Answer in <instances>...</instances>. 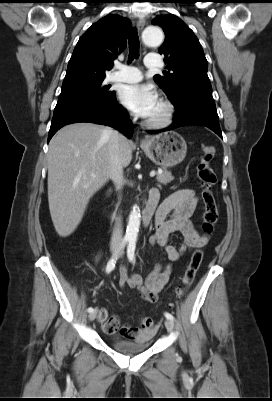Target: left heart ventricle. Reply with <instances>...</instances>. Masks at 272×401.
I'll list each match as a JSON object with an SVG mask.
<instances>
[{
    "label": "left heart ventricle",
    "instance_id": "obj_1",
    "mask_svg": "<svg viewBox=\"0 0 272 401\" xmlns=\"http://www.w3.org/2000/svg\"><path fill=\"white\" fill-rule=\"evenodd\" d=\"M160 113H161V106L158 103L154 113L148 119L156 118V117H158L160 115Z\"/></svg>",
    "mask_w": 272,
    "mask_h": 401
}]
</instances>
